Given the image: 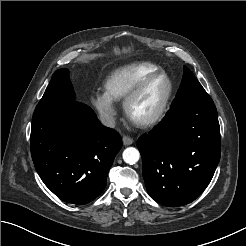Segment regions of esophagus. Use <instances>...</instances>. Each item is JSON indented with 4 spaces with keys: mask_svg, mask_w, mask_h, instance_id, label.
I'll use <instances>...</instances> for the list:
<instances>
[{
    "mask_svg": "<svg viewBox=\"0 0 246 246\" xmlns=\"http://www.w3.org/2000/svg\"><path fill=\"white\" fill-rule=\"evenodd\" d=\"M122 140H123V144H124L125 146L131 145V144L134 143L133 138L128 137V136H123Z\"/></svg>",
    "mask_w": 246,
    "mask_h": 246,
    "instance_id": "1",
    "label": "esophagus"
}]
</instances>
